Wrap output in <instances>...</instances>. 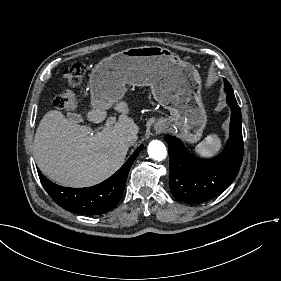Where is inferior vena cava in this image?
<instances>
[{"label": "inferior vena cava", "instance_id": "602c4592", "mask_svg": "<svg viewBox=\"0 0 281 281\" xmlns=\"http://www.w3.org/2000/svg\"><path fill=\"white\" fill-rule=\"evenodd\" d=\"M137 136L136 134L129 133V134H121L119 136L120 143L124 145H132L136 142Z\"/></svg>", "mask_w": 281, "mask_h": 281}]
</instances>
